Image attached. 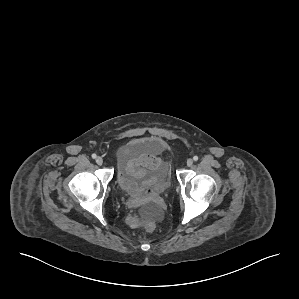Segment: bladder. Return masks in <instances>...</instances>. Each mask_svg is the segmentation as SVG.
<instances>
[{
	"label": "bladder",
	"instance_id": "31cf9c89",
	"mask_svg": "<svg viewBox=\"0 0 299 299\" xmlns=\"http://www.w3.org/2000/svg\"><path fill=\"white\" fill-rule=\"evenodd\" d=\"M127 152L134 157H155L158 163L152 167H146L142 181L151 180L156 191L166 192L170 187L169 167L161 159L164 151L163 143L158 139H140L133 141L126 147ZM140 170V168L138 167Z\"/></svg>",
	"mask_w": 299,
	"mask_h": 299
}]
</instances>
